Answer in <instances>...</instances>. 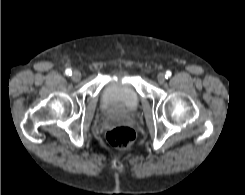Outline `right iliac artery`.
Returning <instances> with one entry per match:
<instances>
[{
  "instance_id": "obj_1",
  "label": "right iliac artery",
  "mask_w": 245,
  "mask_h": 195,
  "mask_svg": "<svg viewBox=\"0 0 245 195\" xmlns=\"http://www.w3.org/2000/svg\"><path fill=\"white\" fill-rule=\"evenodd\" d=\"M65 74L68 76L72 75L71 69H66Z\"/></svg>"
}]
</instances>
